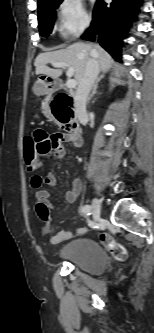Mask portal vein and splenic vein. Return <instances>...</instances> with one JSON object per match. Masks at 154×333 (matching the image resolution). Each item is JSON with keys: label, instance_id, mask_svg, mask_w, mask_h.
<instances>
[{"label": "portal vein and splenic vein", "instance_id": "obj_1", "mask_svg": "<svg viewBox=\"0 0 154 333\" xmlns=\"http://www.w3.org/2000/svg\"><path fill=\"white\" fill-rule=\"evenodd\" d=\"M52 66L55 67V68H64V67H67V76H68V80L66 82V86L68 88H75L76 85H77V81L75 79H70L73 74H74V68L69 66L68 64L66 63H52Z\"/></svg>", "mask_w": 154, "mask_h": 333}]
</instances>
